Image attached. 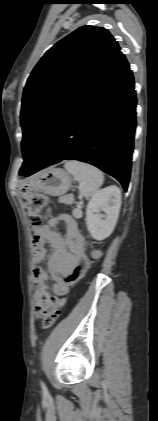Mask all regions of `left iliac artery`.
<instances>
[{
    "label": "left iliac artery",
    "instance_id": "1",
    "mask_svg": "<svg viewBox=\"0 0 158 421\" xmlns=\"http://www.w3.org/2000/svg\"><path fill=\"white\" fill-rule=\"evenodd\" d=\"M42 388L45 389L44 383L41 381Z\"/></svg>",
    "mask_w": 158,
    "mask_h": 421
}]
</instances>
